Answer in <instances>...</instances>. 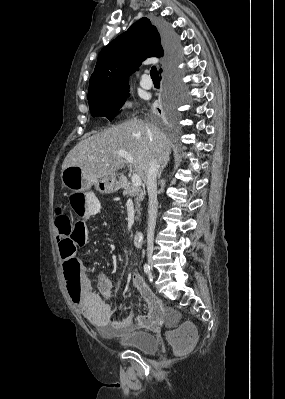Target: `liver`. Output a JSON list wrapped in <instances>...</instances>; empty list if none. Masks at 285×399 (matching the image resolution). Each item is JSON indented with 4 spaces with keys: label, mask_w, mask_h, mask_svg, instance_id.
I'll use <instances>...</instances> for the list:
<instances>
[{
    "label": "liver",
    "mask_w": 285,
    "mask_h": 399,
    "mask_svg": "<svg viewBox=\"0 0 285 399\" xmlns=\"http://www.w3.org/2000/svg\"><path fill=\"white\" fill-rule=\"evenodd\" d=\"M119 151L132 156L135 172L146 183L150 159L154 158L161 167L166 166L171 141L150 123L137 119L125 121L77 143L64 159L62 170L78 166L94 178L115 175L126 164V160L118 155Z\"/></svg>",
    "instance_id": "1"
}]
</instances>
